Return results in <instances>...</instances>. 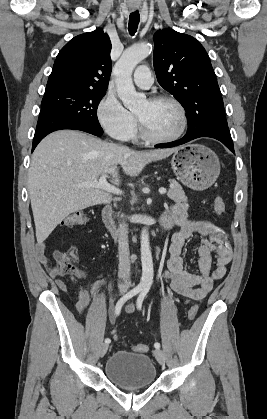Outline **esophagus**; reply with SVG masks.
Here are the masks:
<instances>
[{
    "mask_svg": "<svg viewBox=\"0 0 267 419\" xmlns=\"http://www.w3.org/2000/svg\"><path fill=\"white\" fill-rule=\"evenodd\" d=\"M131 9H132V10H135V9H136V7H132Z\"/></svg>",
    "mask_w": 267,
    "mask_h": 419,
    "instance_id": "34e87169",
    "label": "esophagus"
}]
</instances>
